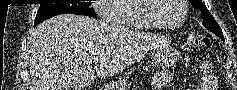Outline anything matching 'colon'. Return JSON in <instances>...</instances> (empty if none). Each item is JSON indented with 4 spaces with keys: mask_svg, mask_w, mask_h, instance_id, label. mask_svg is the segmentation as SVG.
I'll list each match as a JSON object with an SVG mask.
<instances>
[{
    "mask_svg": "<svg viewBox=\"0 0 237 90\" xmlns=\"http://www.w3.org/2000/svg\"><path fill=\"white\" fill-rule=\"evenodd\" d=\"M192 42L198 45H202V46H210L211 45V39L201 33H196L193 37H192Z\"/></svg>",
    "mask_w": 237,
    "mask_h": 90,
    "instance_id": "1",
    "label": "colon"
}]
</instances>
